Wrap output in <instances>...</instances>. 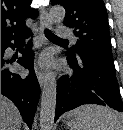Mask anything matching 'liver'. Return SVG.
I'll use <instances>...</instances> for the list:
<instances>
[{
	"instance_id": "liver-1",
	"label": "liver",
	"mask_w": 123,
	"mask_h": 130,
	"mask_svg": "<svg viewBox=\"0 0 123 130\" xmlns=\"http://www.w3.org/2000/svg\"><path fill=\"white\" fill-rule=\"evenodd\" d=\"M21 115L16 106L1 95V130H20Z\"/></svg>"
}]
</instances>
